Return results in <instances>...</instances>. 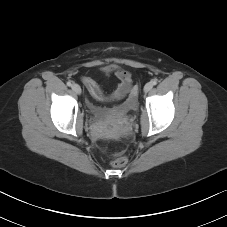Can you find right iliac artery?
<instances>
[{
	"label": "right iliac artery",
	"mask_w": 227,
	"mask_h": 227,
	"mask_svg": "<svg viewBox=\"0 0 227 227\" xmlns=\"http://www.w3.org/2000/svg\"><path fill=\"white\" fill-rule=\"evenodd\" d=\"M67 85H68V86H72V82H71V81H68V82H67Z\"/></svg>",
	"instance_id": "right-iliac-artery-1"
}]
</instances>
